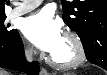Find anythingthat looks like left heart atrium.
I'll list each match as a JSON object with an SVG mask.
<instances>
[{
	"mask_svg": "<svg viewBox=\"0 0 107 75\" xmlns=\"http://www.w3.org/2000/svg\"><path fill=\"white\" fill-rule=\"evenodd\" d=\"M23 31L37 47L51 54L58 49L64 37L60 22L47 10L28 17Z\"/></svg>",
	"mask_w": 107,
	"mask_h": 75,
	"instance_id": "1",
	"label": "left heart atrium"
}]
</instances>
